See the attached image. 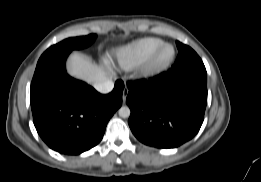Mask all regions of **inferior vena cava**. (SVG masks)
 <instances>
[{
    "label": "inferior vena cava",
    "instance_id": "obj_1",
    "mask_svg": "<svg viewBox=\"0 0 261 182\" xmlns=\"http://www.w3.org/2000/svg\"><path fill=\"white\" fill-rule=\"evenodd\" d=\"M94 88L100 93H109L114 88V83L110 79H105L99 82L94 83Z\"/></svg>",
    "mask_w": 261,
    "mask_h": 182
}]
</instances>
